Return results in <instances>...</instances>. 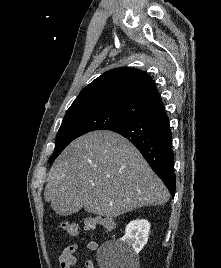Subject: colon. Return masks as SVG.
<instances>
[{
    "instance_id": "colon-1",
    "label": "colon",
    "mask_w": 221,
    "mask_h": 268,
    "mask_svg": "<svg viewBox=\"0 0 221 268\" xmlns=\"http://www.w3.org/2000/svg\"><path fill=\"white\" fill-rule=\"evenodd\" d=\"M84 226L89 232L94 231L98 226L111 231L115 229L116 223L113 219L108 217L92 216L85 219ZM60 227L70 236H77L79 234V227L76 223L63 221L60 223Z\"/></svg>"
}]
</instances>
